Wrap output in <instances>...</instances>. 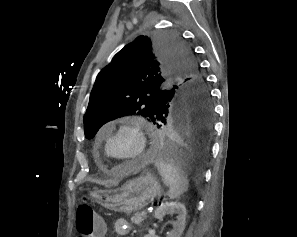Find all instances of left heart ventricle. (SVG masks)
Returning <instances> with one entry per match:
<instances>
[{"label": "left heart ventricle", "instance_id": "1", "mask_svg": "<svg viewBox=\"0 0 297 237\" xmlns=\"http://www.w3.org/2000/svg\"><path fill=\"white\" fill-rule=\"evenodd\" d=\"M135 137L129 132H122L111 139L109 152L118 158H124L132 155L136 151Z\"/></svg>", "mask_w": 297, "mask_h": 237}]
</instances>
